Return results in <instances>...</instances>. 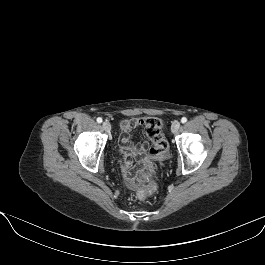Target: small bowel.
Returning a JSON list of instances; mask_svg holds the SVG:
<instances>
[{
  "mask_svg": "<svg viewBox=\"0 0 265 265\" xmlns=\"http://www.w3.org/2000/svg\"><path fill=\"white\" fill-rule=\"evenodd\" d=\"M141 125H143L142 119H127L123 121L121 125L120 150L124 158L122 170L127 183H131L134 178V172L132 169V158L134 156L142 155L148 149L147 143L136 145L131 143L130 141L131 132L134 129L140 127Z\"/></svg>",
  "mask_w": 265,
  "mask_h": 265,
  "instance_id": "1",
  "label": "small bowel"
}]
</instances>
